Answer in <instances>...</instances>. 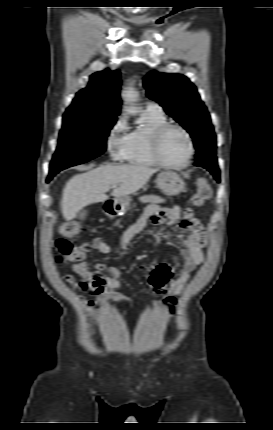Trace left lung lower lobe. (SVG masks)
<instances>
[{
  "label": "left lung lower lobe",
  "instance_id": "obj_1",
  "mask_svg": "<svg viewBox=\"0 0 273 430\" xmlns=\"http://www.w3.org/2000/svg\"><path fill=\"white\" fill-rule=\"evenodd\" d=\"M195 165L209 170L213 174L214 178L217 181H220L219 168L217 165V158L215 157V155L214 156H204L200 159H196Z\"/></svg>",
  "mask_w": 273,
  "mask_h": 430
}]
</instances>
